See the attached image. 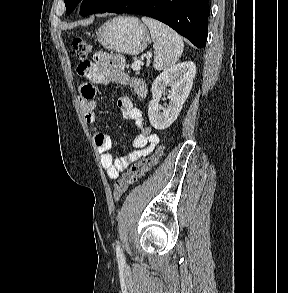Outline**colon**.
Returning <instances> with one entry per match:
<instances>
[{
  "label": "colon",
  "mask_w": 288,
  "mask_h": 293,
  "mask_svg": "<svg viewBox=\"0 0 288 293\" xmlns=\"http://www.w3.org/2000/svg\"><path fill=\"white\" fill-rule=\"evenodd\" d=\"M73 48L76 58L82 63L88 62V58L93 52L92 44L83 39L75 38L73 40ZM163 153V145L160 144L154 153L135 163L123 176L116 182L114 188V198L119 200L122 195L132 186L138 179L149 172L159 161Z\"/></svg>",
  "instance_id": "5ec220e1"
}]
</instances>
